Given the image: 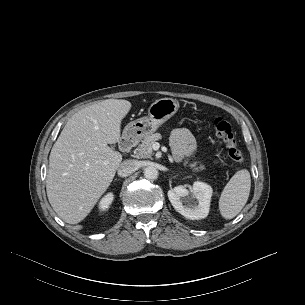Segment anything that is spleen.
Returning a JSON list of instances; mask_svg holds the SVG:
<instances>
[{"label":"spleen","instance_id":"1","mask_svg":"<svg viewBox=\"0 0 305 305\" xmlns=\"http://www.w3.org/2000/svg\"><path fill=\"white\" fill-rule=\"evenodd\" d=\"M251 188L250 173L238 170L226 184L219 199V210L223 218L232 219L245 206Z\"/></svg>","mask_w":305,"mask_h":305}]
</instances>
